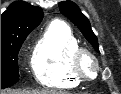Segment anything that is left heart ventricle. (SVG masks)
<instances>
[{
  "label": "left heart ventricle",
  "mask_w": 121,
  "mask_h": 94,
  "mask_svg": "<svg viewBox=\"0 0 121 94\" xmlns=\"http://www.w3.org/2000/svg\"><path fill=\"white\" fill-rule=\"evenodd\" d=\"M83 70L87 73H91L94 68L93 62L90 59H84L82 62Z\"/></svg>",
  "instance_id": "obj_1"
}]
</instances>
